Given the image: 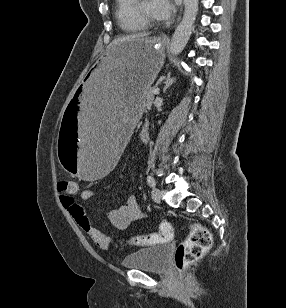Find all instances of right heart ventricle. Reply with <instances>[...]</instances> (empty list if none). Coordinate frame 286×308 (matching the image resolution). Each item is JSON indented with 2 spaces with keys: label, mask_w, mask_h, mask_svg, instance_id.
Here are the masks:
<instances>
[{
  "label": "right heart ventricle",
  "mask_w": 286,
  "mask_h": 308,
  "mask_svg": "<svg viewBox=\"0 0 286 308\" xmlns=\"http://www.w3.org/2000/svg\"><path fill=\"white\" fill-rule=\"evenodd\" d=\"M115 16L119 27L125 33H138L147 29V26L135 13L136 0H115Z\"/></svg>",
  "instance_id": "obj_1"
}]
</instances>
